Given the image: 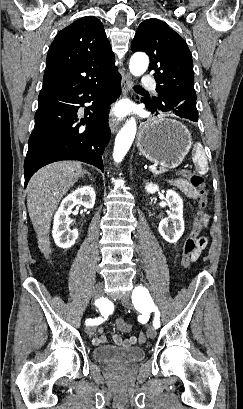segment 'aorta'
Wrapping results in <instances>:
<instances>
[{
	"mask_svg": "<svg viewBox=\"0 0 243 409\" xmlns=\"http://www.w3.org/2000/svg\"><path fill=\"white\" fill-rule=\"evenodd\" d=\"M149 59L144 53H135L129 63L130 72L139 77L145 73L148 68ZM137 131V125L134 118L129 119L123 128L119 131L115 139L113 150V159L119 163L123 160L129 151Z\"/></svg>",
	"mask_w": 243,
	"mask_h": 409,
	"instance_id": "obj_1",
	"label": "aorta"
}]
</instances>
